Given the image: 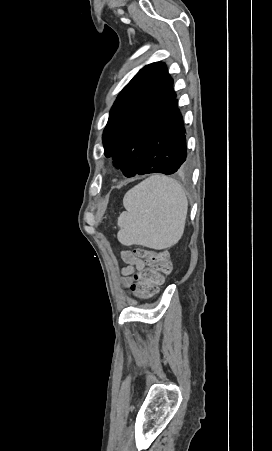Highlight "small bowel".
Returning a JSON list of instances; mask_svg holds the SVG:
<instances>
[{"label": "small bowel", "mask_w": 272, "mask_h": 451, "mask_svg": "<svg viewBox=\"0 0 272 451\" xmlns=\"http://www.w3.org/2000/svg\"><path fill=\"white\" fill-rule=\"evenodd\" d=\"M134 253L130 250H124L121 253L122 260L126 263V267L123 268L122 274L124 276L125 284L129 285L131 283L130 275L137 269H142L144 264L141 260H136L134 258Z\"/></svg>", "instance_id": "small-bowel-1"}]
</instances>
